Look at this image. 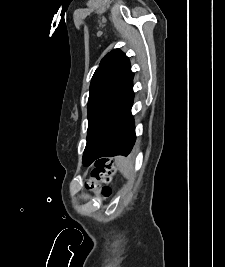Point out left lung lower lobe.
I'll list each match as a JSON object with an SVG mask.
<instances>
[{
  "instance_id": "obj_1",
  "label": "left lung lower lobe",
  "mask_w": 225,
  "mask_h": 267,
  "mask_svg": "<svg viewBox=\"0 0 225 267\" xmlns=\"http://www.w3.org/2000/svg\"><path fill=\"white\" fill-rule=\"evenodd\" d=\"M133 80L119 106L111 131L97 154L96 160L105 156H127L136 141L134 119L131 114L133 104Z\"/></svg>"
}]
</instances>
